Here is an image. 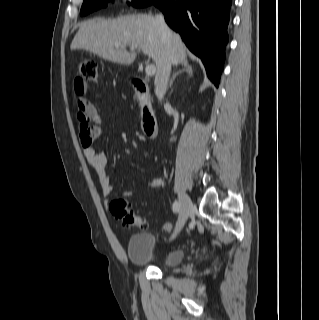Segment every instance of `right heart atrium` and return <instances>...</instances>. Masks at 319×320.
<instances>
[{
  "label": "right heart atrium",
  "mask_w": 319,
  "mask_h": 320,
  "mask_svg": "<svg viewBox=\"0 0 319 320\" xmlns=\"http://www.w3.org/2000/svg\"><path fill=\"white\" fill-rule=\"evenodd\" d=\"M124 3H129V2H132L134 0H122Z\"/></svg>",
  "instance_id": "right-heart-atrium-1"
}]
</instances>
